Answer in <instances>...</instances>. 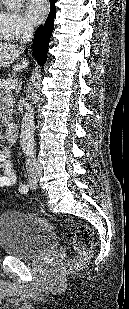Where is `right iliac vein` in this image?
<instances>
[{
  "label": "right iliac vein",
  "instance_id": "right-iliac-vein-1",
  "mask_svg": "<svg viewBox=\"0 0 129 309\" xmlns=\"http://www.w3.org/2000/svg\"><path fill=\"white\" fill-rule=\"evenodd\" d=\"M28 182L31 188H35L38 185V179L35 177L30 178Z\"/></svg>",
  "mask_w": 129,
  "mask_h": 309
}]
</instances>
